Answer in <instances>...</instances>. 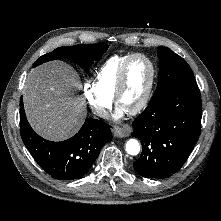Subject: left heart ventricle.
<instances>
[{
    "mask_svg": "<svg viewBox=\"0 0 221 221\" xmlns=\"http://www.w3.org/2000/svg\"><path fill=\"white\" fill-rule=\"evenodd\" d=\"M151 76V68L143 58H136L129 66L125 89L118 106L126 112L132 110L143 98Z\"/></svg>",
    "mask_w": 221,
    "mask_h": 221,
    "instance_id": "left-heart-ventricle-1",
    "label": "left heart ventricle"
}]
</instances>
